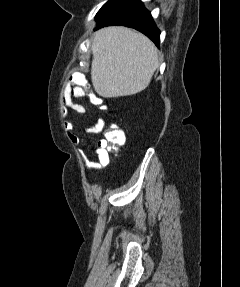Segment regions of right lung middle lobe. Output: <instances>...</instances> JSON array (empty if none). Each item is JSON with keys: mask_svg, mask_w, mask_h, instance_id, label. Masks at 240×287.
Listing matches in <instances>:
<instances>
[{"mask_svg": "<svg viewBox=\"0 0 240 287\" xmlns=\"http://www.w3.org/2000/svg\"><path fill=\"white\" fill-rule=\"evenodd\" d=\"M111 2V0H108V2H106L102 8L99 10V12L96 15V19L102 14V12L104 11V9L107 7V5Z\"/></svg>", "mask_w": 240, "mask_h": 287, "instance_id": "obj_1", "label": "right lung middle lobe"}]
</instances>
